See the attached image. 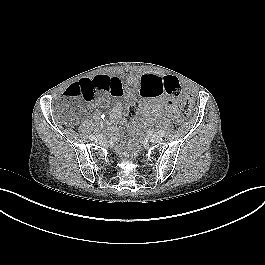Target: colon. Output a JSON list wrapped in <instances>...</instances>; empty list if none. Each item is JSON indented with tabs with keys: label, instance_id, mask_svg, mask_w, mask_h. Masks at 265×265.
Returning a JSON list of instances; mask_svg holds the SVG:
<instances>
[{
	"label": "colon",
	"instance_id": "5ec220e1",
	"mask_svg": "<svg viewBox=\"0 0 265 265\" xmlns=\"http://www.w3.org/2000/svg\"><path fill=\"white\" fill-rule=\"evenodd\" d=\"M108 92L109 90L106 80L101 79L91 81L82 79L66 89L65 97L67 99L83 98L85 100H92L97 94H106ZM159 93H164L174 98L178 107L184 114H189L191 112L193 99L189 94L183 92L180 82L176 77L171 75L165 76L162 80L160 92L155 93L154 96ZM139 110L140 104H135L131 106L125 116L126 124L130 129H133L135 126V116ZM70 121L71 124H74L76 120L75 118H71ZM130 149L133 151L136 149L133 143H130Z\"/></svg>",
	"mask_w": 265,
	"mask_h": 265
}]
</instances>
